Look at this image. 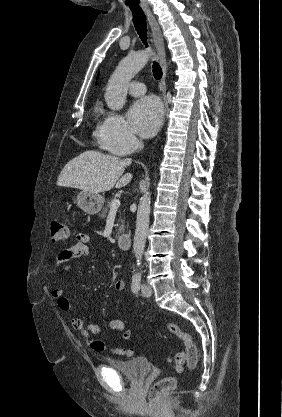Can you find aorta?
I'll return each mask as SVG.
<instances>
[{
	"mask_svg": "<svg viewBox=\"0 0 282 417\" xmlns=\"http://www.w3.org/2000/svg\"><path fill=\"white\" fill-rule=\"evenodd\" d=\"M152 54L153 52L150 48H145V50H138V52L129 54V56H125V58L120 60L107 82V88L104 94L106 104H108L111 110H120V108H123L126 102L129 80L145 66L148 58ZM150 204L151 192H145L141 196L138 206L133 241V253L137 267L134 277H141L140 267H142L143 253L149 229Z\"/></svg>",
	"mask_w": 282,
	"mask_h": 417,
	"instance_id": "aorta-1",
	"label": "aorta"
}]
</instances>
